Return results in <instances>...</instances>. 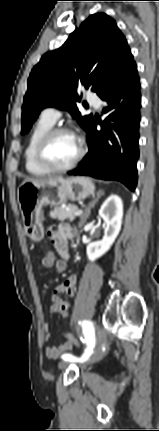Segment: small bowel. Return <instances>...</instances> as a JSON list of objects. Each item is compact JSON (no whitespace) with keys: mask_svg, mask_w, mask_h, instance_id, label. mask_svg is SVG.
Returning a JSON list of instances; mask_svg holds the SVG:
<instances>
[{"mask_svg":"<svg viewBox=\"0 0 159 431\" xmlns=\"http://www.w3.org/2000/svg\"><path fill=\"white\" fill-rule=\"evenodd\" d=\"M72 234H73L72 229L65 224L59 225L56 230L49 231L51 242L55 250L61 256L62 259L57 260L55 257L52 260L54 263L53 266L48 267V264H47L48 262L44 256L41 261V264L43 267L52 268L55 270L56 273H62L66 270V267H67L66 260L69 257L67 240L70 237H72ZM76 283H77V276L75 274H72L69 277H67L61 284L53 288L50 296L53 302L52 306L50 307L51 313H59L62 316L63 310H69V306H70L69 301L63 296L73 297L76 293ZM42 329L44 333V340H49L50 339L49 324L47 322H44L42 325ZM63 338L65 339L64 343L58 346L46 347L45 352L47 357L57 358L72 349L73 345L71 340H68L67 336Z\"/></svg>","mask_w":159,"mask_h":431,"instance_id":"c3829d8e","label":"small bowel"}]
</instances>
